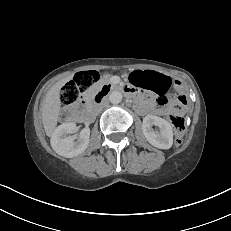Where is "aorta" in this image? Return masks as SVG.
Here are the masks:
<instances>
[{
	"label": "aorta",
	"mask_w": 231,
	"mask_h": 231,
	"mask_svg": "<svg viewBox=\"0 0 231 231\" xmlns=\"http://www.w3.org/2000/svg\"><path fill=\"white\" fill-rule=\"evenodd\" d=\"M122 93L120 91H112L109 95V100L112 104H119L122 101Z\"/></svg>",
	"instance_id": "1"
}]
</instances>
